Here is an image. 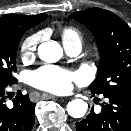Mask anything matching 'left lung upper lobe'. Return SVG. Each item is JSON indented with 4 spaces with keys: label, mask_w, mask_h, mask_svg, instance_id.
<instances>
[{
    "label": "left lung upper lobe",
    "mask_w": 131,
    "mask_h": 131,
    "mask_svg": "<svg viewBox=\"0 0 131 131\" xmlns=\"http://www.w3.org/2000/svg\"><path fill=\"white\" fill-rule=\"evenodd\" d=\"M94 35L100 53L98 75L89 86L93 94L131 97V29L114 13L92 8L72 13Z\"/></svg>",
    "instance_id": "obj_1"
}]
</instances>
